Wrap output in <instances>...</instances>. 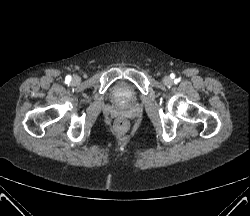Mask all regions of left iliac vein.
I'll return each mask as SVG.
<instances>
[{
	"label": "left iliac vein",
	"instance_id": "1",
	"mask_svg": "<svg viewBox=\"0 0 250 216\" xmlns=\"http://www.w3.org/2000/svg\"><path fill=\"white\" fill-rule=\"evenodd\" d=\"M163 83H164L165 85H171V84H172V79H171L169 76H165V77L163 78Z\"/></svg>",
	"mask_w": 250,
	"mask_h": 216
}]
</instances>
